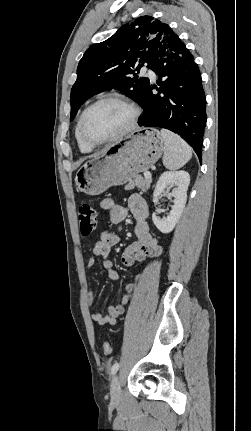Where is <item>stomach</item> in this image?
<instances>
[{"label":"stomach","mask_w":251,"mask_h":431,"mask_svg":"<svg viewBox=\"0 0 251 431\" xmlns=\"http://www.w3.org/2000/svg\"><path fill=\"white\" fill-rule=\"evenodd\" d=\"M163 151L164 142L156 129H139L84 163L76 173V185L81 192L99 195L147 171Z\"/></svg>","instance_id":"0dacf381"}]
</instances>
